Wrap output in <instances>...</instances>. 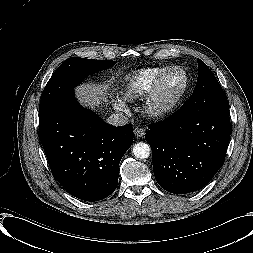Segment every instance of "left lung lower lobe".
<instances>
[{"label":"left lung lower lobe","instance_id":"left-lung-lower-lobe-1","mask_svg":"<svg viewBox=\"0 0 253 253\" xmlns=\"http://www.w3.org/2000/svg\"><path fill=\"white\" fill-rule=\"evenodd\" d=\"M149 128L145 139L158 184L174 194L197 191L224 163L230 137L226 95L222 92L206 103L189 98L177 112Z\"/></svg>","mask_w":253,"mask_h":253}]
</instances>
